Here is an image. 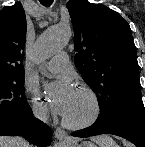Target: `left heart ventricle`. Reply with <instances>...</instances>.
I'll list each match as a JSON object with an SVG mask.
<instances>
[{"instance_id": "obj_1", "label": "left heart ventricle", "mask_w": 145, "mask_h": 147, "mask_svg": "<svg viewBox=\"0 0 145 147\" xmlns=\"http://www.w3.org/2000/svg\"><path fill=\"white\" fill-rule=\"evenodd\" d=\"M91 109L90 100L84 94L76 91L73 103L65 117L71 121H80L90 114Z\"/></svg>"}]
</instances>
